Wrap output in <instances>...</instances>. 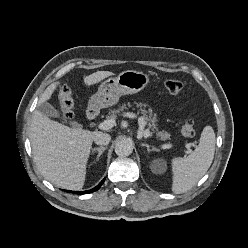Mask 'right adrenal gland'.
<instances>
[{
  "instance_id": "right-adrenal-gland-1",
  "label": "right adrenal gland",
  "mask_w": 248,
  "mask_h": 248,
  "mask_svg": "<svg viewBox=\"0 0 248 248\" xmlns=\"http://www.w3.org/2000/svg\"><path fill=\"white\" fill-rule=\"evenodd\" d=\"M107 149V147H99V148H94L93 149V153L94 152H98L97 158L96 160H99L100 156L103 154V152Z\"/></svg>"
}]
</instances>
